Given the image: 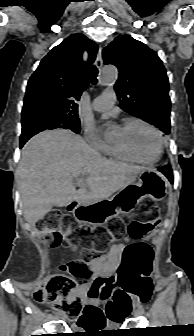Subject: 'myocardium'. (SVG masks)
I'll use <instances>...</instances> for the list:
<instances>
[{
  "label": "myocardium",
  "mask_w": 194,
  "mask_h": 336,
  "mask_svg": "<svg viewBox=\"0 0 194 336\" xmlns=\"http://www.w3.org/2000/svg\"><path fill=\"white\" fill-rule=\"evenodd\" d=\"M133 124H141V125L149 128L155 134V136L157 138V141H158V152H157L156 157L154 159H151V160H145V159H142L139 156H137L135 153H133L125 144H123L121 142H114V144L126 156H128L129 158H131L134 161H137V162H140V163H143V164H147V165H152V164L157 163L161 159L163 151H164V142H163V138H162V135H161L160 131L154 125H152L151 123H149V122H147L143 119H140V118L126 119L124 121L123 125H122V128H126L130 125H133Z\"/></svg>",
  "instance_id": "obj_1"
}]
</instances>
